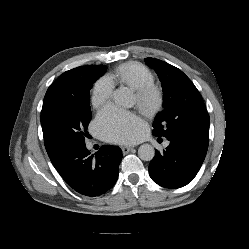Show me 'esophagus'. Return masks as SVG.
Returning <instances> with one entry per match:
<instances>
[{
	"instance_id": "obj_1",
	"label": "esophagus",
	"mask_w": 249,
	"mask_h": 249,
	"mask_svg": "<svg viewBox=\"0 0 249 249\" xmlns=\"http://www.w3.org/2000/svg\"><path fill=\"white\" fill-rule=\"evenodd\" d=\"M121 149H122V152H123L124 154H127V153H129L131 150H133L134 147H133V146H123V147H121Z\"/></svg>"
}]
</instances>
